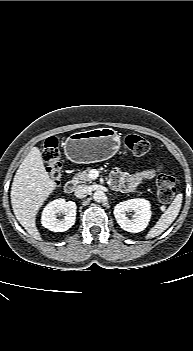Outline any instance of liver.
<instances>
[{
  "label": "liver",
  "instance_id": "6515ba94",
  "mask_svg": "<svg viewBox=\"0 0 193 351\" xmlns=\"http://www.w3.org/2000/svg\"><path fill=\"white\" fill-rule=\"evenodd\" d=\"M55 188L39 149L33 147L13 178L11 204L19 223L36 240H42L36 227V215Z\"/></svg>",
  "mask_w": 193,
  "mask_h": 351
}]
</instances>
